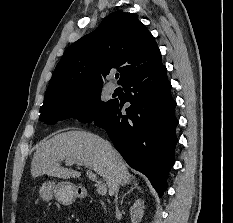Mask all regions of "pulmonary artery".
Listing matches in <instances>:
<instances>
[{"mask_svg":"<svg viewBox=\"0 0 233 223\" xmlns=\"http://www.w3.org/2000/svg\"><path fill=\"white\" fill-rule=\"evenodd\" d=\"M115 89H116V86H115L114 84H109L108 90H109L110 92H114Z\"/></svg>","mask_w":233,"mask_h":223,"instance_id":"1","label":"pulmonary artery"}]
</instances>
